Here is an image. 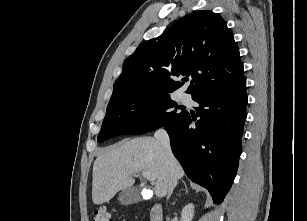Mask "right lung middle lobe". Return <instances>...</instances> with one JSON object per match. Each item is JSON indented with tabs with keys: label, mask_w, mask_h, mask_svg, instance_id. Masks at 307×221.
<instances>
[{
	"label": "right lung middle lobe",
	"mask_w": 307,
	"mask_h": 221,
	"mask_svg": "<svg viewBox=\"0 0 307 221\" xmlns=\"http://www.w3.org/2000/svg\"><path fill=\"white\" fill-rule=\"evenodd\" d=\"M176 108V109H174ZM179 106L170 94H136L108 104L98 142L122 135H139L181 118L186 111H177Z\"/></svg>",
	"instance_id": "1"
}]
</instances>
